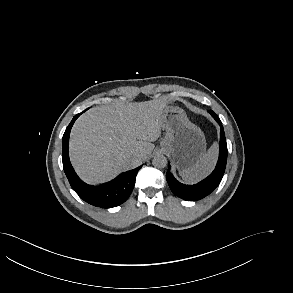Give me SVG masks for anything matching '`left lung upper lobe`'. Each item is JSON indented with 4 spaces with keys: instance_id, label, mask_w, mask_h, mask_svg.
Wrapping results in <instances>:
<instances>
[{
    "instance_id": "left-lung-upper-lobe-1",
    "label": "left lung upper lobe",
    "mask_w": 293,
    "mask_h": 293,
    "mask_svg": "<svg viewBox=\"0 0 293 293\" xmlns=\"http://www.w3.org/2000/svg\"><path fill=\"white\" fill-rule=\"evenodd\" d=\"M212 116L216 115L212 110L208 111Z\"/></svg>"
}]
</instances>
